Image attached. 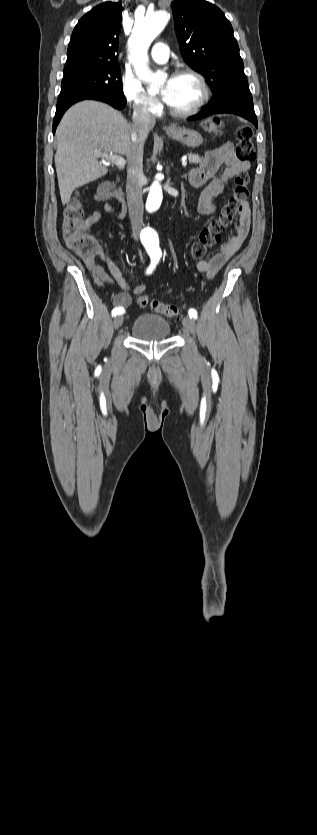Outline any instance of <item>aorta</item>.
<instances>
[{
	"label": "aorta",
	"mask_w": 317,
	"mask_h": 835,
	"mask_svg": "<svg viewBox=\"0 0 317 835\" xmlns=\"http://www.w3.org/2000/svg\"><path fill=\"white\" fill-rule=\"evenodd\" d=\"M170 20L168 10H157L139 19L128 40L130 48L128 59L135 69L137 77L149 84L151 90L158 89V85L165 81L166 74L154 73L148 66V49ZM163 199L160 180L156 177L151 185L146 201V209L149 213L155 212L161 205ZM145 236L157 244V235L153 227L147 226L144 230Z\"/></svg>",
	"instance_id": "762f6f07"
}]
</instances>
